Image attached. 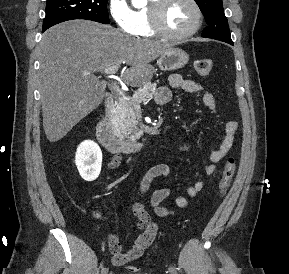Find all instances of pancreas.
<instances>
[{"label":"pancreas","mask_w":289,"mask_h":274,"mask_svg":"<svg viewBox=\"0 0 289 274\" xmlns=\"http://www.w3.org/2000/svg\"><path fill=\"white\" fill-rule=\"evenodd\" d=\"M156 87V83H147L139 88L132 97L118 98L111 119L114 133L117 136L127 138L130 142H136L142 136V131L137 127V112L140 109V103L154 97Z\"/></svg>","instance_id":"1"}]
</instances>
